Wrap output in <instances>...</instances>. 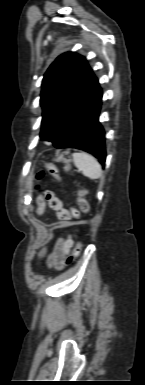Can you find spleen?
I'll return each mask as SVG.
<instances>
[{"label":"spleen","mask_w":145,"mask_h":385,"mask_svg":"<svg viewBox=\"0 0 145 385\" xmlns=\"http://www.w3.org/2000/svg\"><path fill=\"white\" fill-rule=\"evenodd\" d=\"M75 166L80 169L84 176L90 179H98L102 175L99 162L86 152L73 153Z\"/></svg>","instance_id":"spleen-1"}]
</instances>
